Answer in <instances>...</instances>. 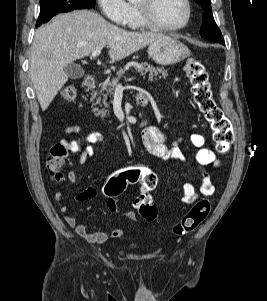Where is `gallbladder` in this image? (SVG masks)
<instances>
[{
	"instance_id": "gallbladder-1",
	"label": "gallbladder",
	"mask_w": 267,
	"mask_h": 301,
	"mask_svg": "<svg viewBox=\"0 0 267 301\" xmlns=\"http://www.w3.org/2000/svg\"><path fill=\"white\" fill-rule=\"evenodd\" d=\"M64 72L68 75L71 79H80L84 76V70L80 65L75 63L68 64L64 68Z\"/></svg>"
}]
</instances>
